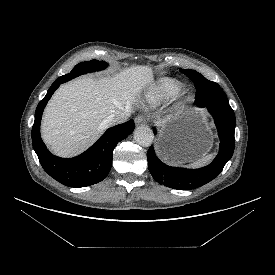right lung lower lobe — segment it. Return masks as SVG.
<instances>
[{
    "mask_svg": "<svg viewBox=\"0 0 275 275\" xmlns=\"http://www.w3.org/2000/svg\"><path fill=\"white\" fill-rule=\"evenodd\" d=\"M66 80L59 77L39 102L32 127V144L43 169L52 178L69 187H85L107 177L115 146L133 132L135 125L134 120H129L109 128L92 147L77 157L64 159L52 155L41 139L40 122L48 100L60 84L67 82Z\"/></svg>",
    "mask_w": 275,
    "mask_h": 275,
    "instance_id": "1",
    "label": "right lung lower lobe"
}]
</instances>
